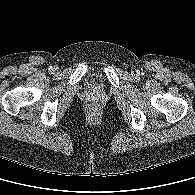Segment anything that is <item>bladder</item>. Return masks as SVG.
<instances>
[{
	"label": "bladder",
	"mask_w": 195,
	"mask_h": 195,
	"mask_svg": "<svg viewBox=\"0 0 195 195\" xmlns=\"http://www.w3.org/2000/svg\"><path fill=\"white\" fill-rule=\"evenodd\" d=\"M87 85L91 89H100L101 88V76L97 72L89 74L87 79Z\"/></svg>",
	"instance_id": "31cf9c89"
}]
</instances>
